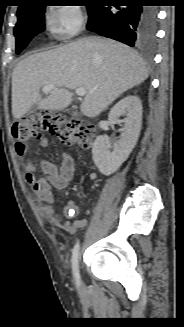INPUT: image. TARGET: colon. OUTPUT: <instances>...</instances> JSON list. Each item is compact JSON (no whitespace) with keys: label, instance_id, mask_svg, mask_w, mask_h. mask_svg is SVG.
Returning <instances> with one entry per match:
<instances>
[{"label":"colon","instance_id":"colon-1","mask_svg":"<svg viewBox=\"0 0 184 327\" xmlns=\"http://www.w3.org/2000/svg\"><path fill=\"white\" fill-rule=\"evenodd\" d=\"M48 131L63 144L87 149L95 136V126L87 120L67 118L64 114L37 111L24 115L12 125L15 149L19 157L28 152V142Z\"/></svg>","mask_w":184,"mask_h":327}]
</instances>
